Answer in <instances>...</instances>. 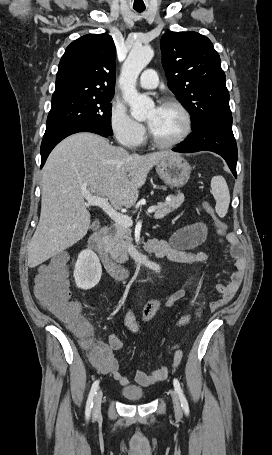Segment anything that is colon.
I'll use <instances>...</instances> for the list:
<instances>
[{
  "label": "colon",
  "mask_w": 272,
  "mask_h": 455,
  "mask_svg": "<svg viewBox=\"0 0 272 455\" xmlns=\"http://www.w3.org/2000/svg\"><path fill=\"white\" fill-rule=\"evenodd\" d=\"M204 208L211 217L217 233L224 236L227 231L226 224L216 216L209 203L205 202ZM67 261V255L62 253L52 257L40 267L35 281V296L49 312L66 323L87 344H90L93 334L92 326L81 317L79 304L70 300ZM177 348L175 346L173 349L180 351ZM104 356L105 350L102 345H97L92 349L91 357L94 362H101Z\"/></svg>",
  "instance_id": "obj_1"
}]
</instances>
